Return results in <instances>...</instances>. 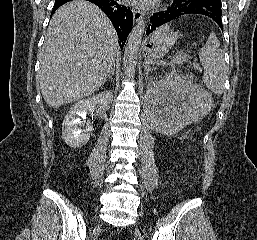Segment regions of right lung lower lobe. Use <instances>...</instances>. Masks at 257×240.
Listing matches in <instances>:
<instances>
[{"label":"right lung lower lobe","mask_w":257,"mask_h":240,"mask_svg":"<svg viewBox=\"0 0 257 240\" xmlns=\"http://www.w3.org/2000/svg\"><path fill=\"white\" fill-rule=\"evenodd\" d=\"M71 1V0H69ZM98 7H100L111 20L117 34L119 37L120 48H123L126 39L131 31L133 24V15L129 7H126L119 3V0H88ZM68 1H65L66 3ZM62 4H57L53 8L52 14L58 9Z\"/></svg>","instance_id":"obj_1"}]
</instances>
